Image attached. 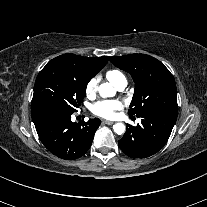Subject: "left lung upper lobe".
Segmentation results:
<instances>
[{
    "mask_svg": "<svg viewBox=\"0 0 207 207\" xmlns=\"http://www.w3.org/2000/svg\"><path fill=\"white\" fill-rule=\"evenodd\" d=\"M110 61L130 73L135 82L129 115L139 117L157 110L178 111L174 77L159 60L145 54H131L111 57Z\"/></svg>",
    "mask_w": 207,
    "mask_h": 207,
    "instance_id": "5c2ea615",
    "label": "left lung upper lobe"
}]
</instances>
